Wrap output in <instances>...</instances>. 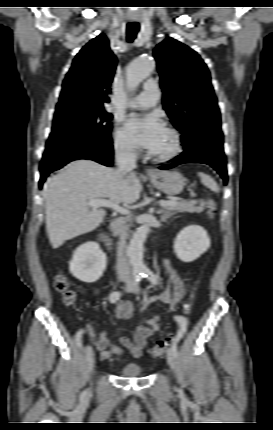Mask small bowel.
Masks as SVG:
<instances>
[{
    "label": "small bowel",
    "instance_id": "small-bowel-1",
    "mask_svg": "<svg viewBox=\"0 0 273 430\" xmlns=\"http://www.w3.org/2000/svg\"><path fill=\"white\" fill-rule=\"evenodd\" d=\"M161 265L168 270V284L166 290L161 295L154 297L152 301L168 304L171 306V311H173L174 306L183 298L184 284L177 271L172 267L169 259L162 260ZM133 312L134 305L126 301L118 302L114 310V314L118 319H128L133 315ZM177 318L179 324L185 325L186 320L184 317L177 316ZM160 330V318L158 315H154L150 318L141 319V324L135 328L132 339L125 335H119L118 340L130 355L138 358L142 355L147 345V340ZM78 332L82 335L84 330H79ZM96 346L103 359H108L113 355L122 356L125 354V351L115 345L106 333L100 334Z\"/></svg>",
    "mask_w": 273,
    "mask_h": 430
}]
</instances>
